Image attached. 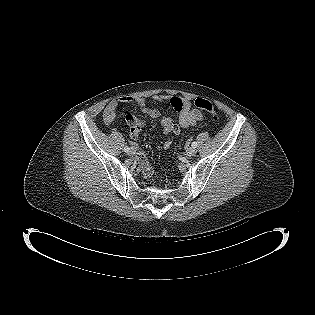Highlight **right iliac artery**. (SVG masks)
I'll return each instance as SVG.
<instances>
[{
    "label": "right iliac artery",
    "instance_id": "82829eb1",
    "mask_svg": "<svg viewBox=\"0 0 315 315\" xmlns=\"http://www.w3.org/2000/svg\"><path fill=\"white\" fill-rule=\"evenodd\" d=\"M130 148L128 146L124 147L125 152H129Z\"/></svg>",
    "mask_w": 315,
    "mask_h": 315
}]
</instances>
